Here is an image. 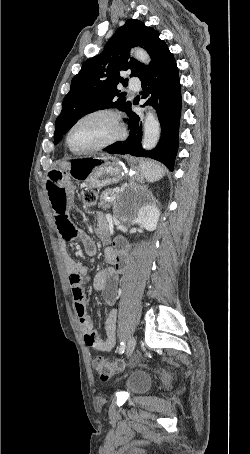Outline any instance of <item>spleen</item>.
Returning <instances> with one entry per match:
<instances>
[{"instance_id": "spleen-1", "label": "spleen", "mask_w": 250, "mask_h": 454, "mask_svg": "<svg viewBox=\"0 0 250 454\" xmlns=\"http://www.w3.org/2000/svg\"><path fill=\"white\" fill-rule=\"evenodd\" d=\"M140 171L145 179L149 182L158 181L163 177L164 168L157 162L150 160L140 161Z\"/></svg>"}]
</instances>
